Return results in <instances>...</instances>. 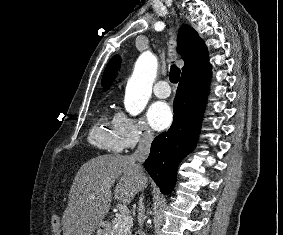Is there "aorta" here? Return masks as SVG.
I'll use <instances>...</instances> for the list:
<instances>
[{"mask_svg":"<svg viewBox=\"0 0 283 235\" xmlns=\"http://www.w3.org/2000/svg\"><path fill=\"white\" fill-rule=\"evenodd\" d=\"M158 61L149 52L142 53L136 61L133 74L129 79L124 98L126 111L133 116L141 113L152 93Z\"/></svg>","mask_w":283,"mask_h":235,"instance_id":"1","label":"aorta"}]
</instances>
